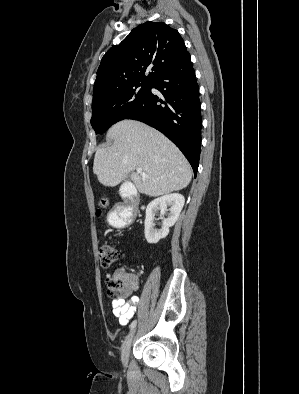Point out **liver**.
Instances as JSON below:
<instances>
[{
	"label": "liver",
	"mask_w": 299,
	"mask_h": 394,
	"mask_svg": "<svg viewBox=\"0 0 299 394\" xmlns=\"http://www.w3.org/2000/svg\"><path fill=\"white\" fill-rule=\"evenodd\" d=\"M114 142L96 151L93 172L104 186H116L128 174L140 193L157 197L190 183L192 170L181 151L162 133L136 120H122L107 133ZM141 168L148 177L134 170Z\"/></svg>",
	"instance_id": "6515ba94"
}]
</instances>
